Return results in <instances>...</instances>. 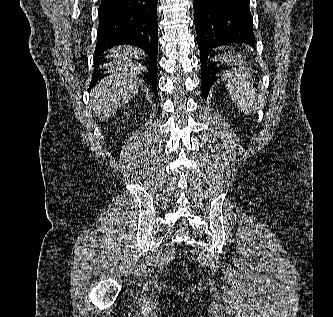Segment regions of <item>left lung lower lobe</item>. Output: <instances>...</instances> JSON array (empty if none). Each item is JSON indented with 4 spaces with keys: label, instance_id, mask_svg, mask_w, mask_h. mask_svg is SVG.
I'll return each instance as SVG.
<instances>
[{
    "label": "left lung lower lobe",
    "instance_id": "0a47b994",
    "mask_svg": "<svg viewBox=\"0 0 333 317\" xmlns=\"http://www.w3.org/2000/svg\"><path fill=\"white\" fill-rule=\"evenodd\" d=\"M250 0H194V23L200 48L205 99L226 69L216 48L234 43L255 47Z\"/></svg>",
    "mask_w": 333,
    "mask_h": 317
}]
</instances>
